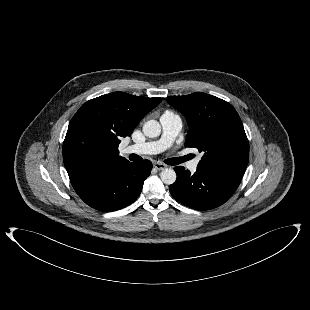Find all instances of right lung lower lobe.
I'll return each instance as SVG.
<instances>
[{"mask_svg": "<svg viewBox=\"0 0 310 310\" xmlns=\"http://www.w3.org/2000/svg\"><path fill=\"white\" fill-rule=\"evenodd\" d=\"M152 163L108 164L70 178V182L89 206L100 211H116L133 203L141 193Z\"/></svg>", "mask_w": 310, "mask_h": 310, "instance_id": "1", "label": "right lung lower lobe"}]
</instances>
